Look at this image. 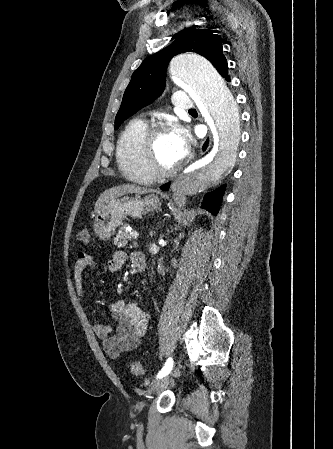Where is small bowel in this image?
<instances>
[{
	"label": "small bowel",
	"instance_id": "small-bowel-1",
	"mask_svg": "<svg viewBox=\"0 0 333 449\" xmlns=\"http://www.w3.org/2000/svg\"><path fill=\"white\" fill-rule=\"evenodd\" d=\"M126 261V254L117 251L109 261L111 272L122 269ZM95 265L93 257L87 253H78L77 261L73 268V279L80 297L84 296V273ZM111 311L118 326L113 329L111 325L95 323L93 331L101 339L103 349L112 358H118L123 353L129 352L139 346L145 336L149 325V313L142 307L124 300H116L111 304Z\"/></svg>",
	"mask_w": 333,
	"mask_h": 449
}]
</instances>
